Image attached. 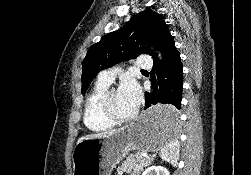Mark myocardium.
Here are the masks:
<instances>
[{
  "label": "myocardium",
  "mask_w": 251,
  "mask_h": 175,
  "mask_svg": "<svg viewBox=\"0 0 251 175\" xmlns=\"http://www.w3.org/2000/svg\"><path fill=\"white\" fill-rule=\"evenodd\" d=\"M115 90H117L115 87H108L103 92L99 99V111L105 119L113 124L130 121L134 117L133 114H130L128 116H120L113 113L110 109L109 99L112 92H114Z\"/></svg>",
  "instance_id": "obj_1"
}]
</instances>
